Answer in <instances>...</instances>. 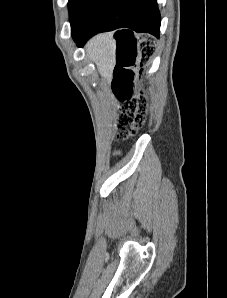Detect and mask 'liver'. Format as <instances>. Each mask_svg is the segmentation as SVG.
<instances>
[{
	"label": "liver",
	"instance_id": "6515ba94",
	"mask_svg": "<svg viewBox=\"0 0 227 298\" xmlns=\"http://www.w3.org/2000/svg\"><path fill=\"white\" fill-rule=\"evenodd\" d=\"M86 52L96 64L103 79L111 81L116 64V42L111 33H101L93 37L86 45Z\"/></svg>",
	"mask_w": 227,
	"mask_h": 298
}]
</instances>
